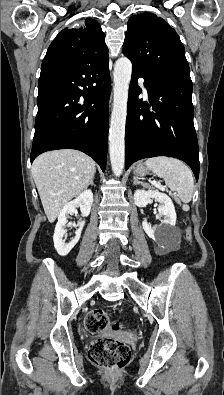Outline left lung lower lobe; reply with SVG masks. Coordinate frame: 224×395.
<instances>
[{
  "mask_svg": "<svg viewBox=\"0 0 224 395\" xmlns=\"http://www.w3.org/2000/svg\"><path fill=\"white\" fill-rule=\"evenodd\" d=\"M139 77L145 80L149 104L143 105L138 99L142 91L137 84ZM193 116L192 82L133 67L126 119L125 170L143 158L171 156L186 162L198 180L199 149Z\"/></svg>",
  "mask_w": 224,
  "mask_h": 395,
  "instance_id": "1",
  "label": "left lung lower lobe"
}]
</instances>
